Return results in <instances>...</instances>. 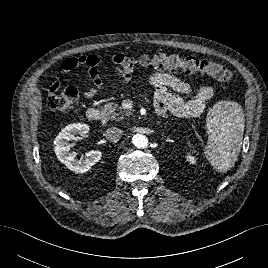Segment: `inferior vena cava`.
<instances>
[{"label":"inferior vena cava","mask_w":268,"mask_h":268,"mask_svg":"<svg viewBox=\"0 0 268 268\" xmlns=\"http://www.w3.org/2000/svg\"><path fill=\"white\" fill-rule=\"evenodd\" d=\"M122 136V130L117 127H111L106 130L105 137L111 142H117Z\"/></svg>","instance_id":"602c4592"}]
</instances>
